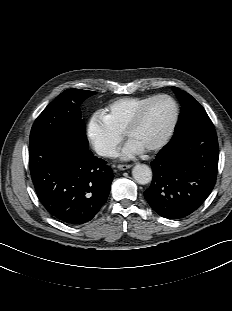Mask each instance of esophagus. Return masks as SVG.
<instances>
[{"label":"esophagus","instance_id":"1","mask_svg":"<svg viewBox=\"0 0 232 311\" xmlns=\"http://www.w3.org/2000/svg\"><path fill=\"white\" fill-rule=\"evenodd\" d=\"M132 167V165H122V164H120V165H118L117 166V168L119 169V170H127V169H129V168H131Z\"/></svg>","mask_w":232,"mask_h":311}]
</instances>
